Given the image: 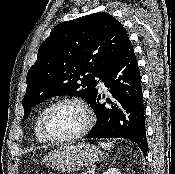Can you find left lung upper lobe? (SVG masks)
Wrapping results in <instances>:
<instances>
[{"label":"left lung upper lobe","instance_id":"left-lung-upper-lobe-1","mask_svg":"<svg viewBox=\"0 0 175 174\" xmlns=\"http://www.w3.org/2000/svg\"><path fill=\"white\" fill-rule=\"evenodd\" d=\"M130 44L123 25L108 13H95L57 25L41 45L27 74L25 120L40 102L76 95L91 102L102 79Z\"/></svg>","mask_w":175,"mask_h":174}]
</instances>
